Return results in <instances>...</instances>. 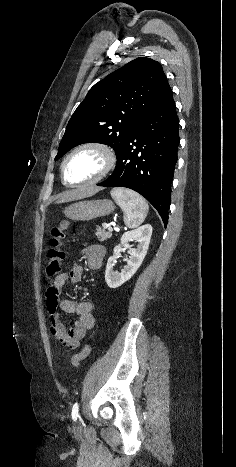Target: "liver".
<instances>
[{
    "instance_id": "obj_1",
    "label": "liver",
    "mask_w": 236,
    "mask_h": 467,
    "mask_svg": "<svg viewBox=\"0 0 236 467\" xmlns=\"http://www.w3.org/2000/svg\"><path fill=\"white\" fill-rule=\"evenodd\" d=\"M99 190L100 188H97V187H81L79 189L61 194L59 196V199L56 201V203L59 204V203H66V202H70L74 200H79V199H82L88 196H92L95 193H97Z\"/></svg>"
}]
</instances>
